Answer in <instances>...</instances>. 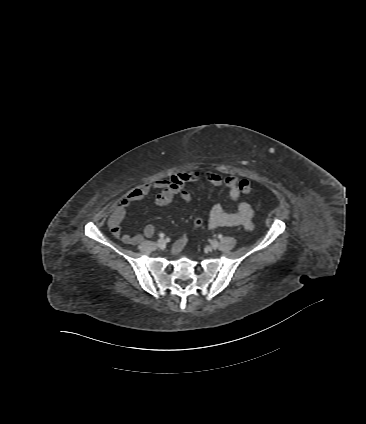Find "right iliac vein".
Returning <instances> with one entry per match:
<instances>
[{
  "label": "right iliac vein",
  "mask_w": 366,
  "mask_h": 424,
  "mask_svg": "<svg viewBox=\"0 0 366 424\" xmlns=\"http://www.w3.org/2000/svg\"><path fill=\"white\" fill-rule=\"evenodd\" d=\"M157 246L160 248V249H163V248H165V246H166V241L164 240V239H159L158 241H157Z\"/></svg>",
  "instance_id": "63e3f726"
}]
</instances>
